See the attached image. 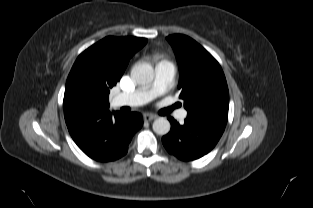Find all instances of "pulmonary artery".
Returning <instances> with one entry per match:
<instances>
[{"instance_id": "1", "label": "pulmonary artery", "mask_w": 313, "mask_h": 208, "mask_svg": "<svg viewBox=\"0 0 313 208\" xmlns=\"http://www.w3.org/2000/svg\"><path fill=\"white\" fill-rule=\"evenodd\" d=\"M175 75V67L171 62L162 61L155 66V78L150 86L129 93H119L112 103L115 107H136L144 105L155 97L165 93L171 86ZM186 111L182 110L179 117L184 118Z\"/></svg>"}]
</instances>
